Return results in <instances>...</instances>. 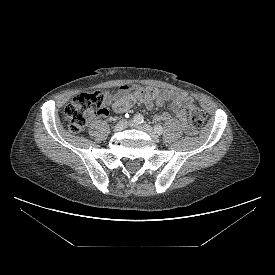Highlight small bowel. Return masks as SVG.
<instances>
[{
	"label": "small bowel",
	"instance_id": "small-bowel-1",
	"mask_svg": "<svg viewBox=\"0 0 275 275\" xmlns=\"http://www.w3.org/2000/svg\"><path fill=\"white\" fill-rule=\"evenodd\" d=\"M106 100L107 103L111 104L112 110L118 114L127 112L137 101L143 103L148 109L154 106H161L169 101L170 110L158 114L156 119L167 121L174 118L181 124L187 134L194 135L196 133L195 129L187 121L185 109L192 103V99L185 92L163 90L156 87L130 88L122 86L117 93L108 94Z\"/></svg>",
	"mask_w": 275,
	"mask_h": 275
}]
</instances>
